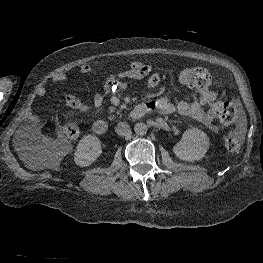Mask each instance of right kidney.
<instances>
[{
  "label": "right kidney",
  "instance_id": "right-kidney-1",
  "mask_svg": "<svg viewBox=\"0 0 263 263\" xmlns=\"http://www.w3.org/2000/svg\"><path fill=\"white\" fill-rule=\"evenodd\" d=\"M102 153L101 142L94 135L83 137L74 153V161L81 167L90 166Z\"/></svg>",
  "mask_w": 263,
  "mask_h": 263
}]
</instances>
